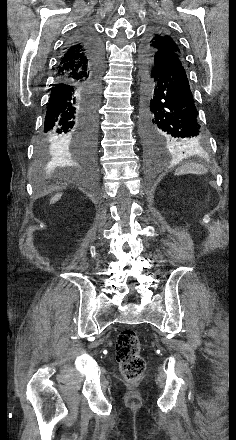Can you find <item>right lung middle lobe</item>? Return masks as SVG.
Here are the masks:
<instances>
[{
  "instance_id": "right-lung-middle-lobe-1",
  "label": "right lung middle lobe",
  "mask_w": 236,
  "mask_h": 440,
  "mask_svg": "<svg viewBox=\"0 0 236 440\" xmlns=\"http://www.w3.org/2000/svg\"><path fill=\"white\" fill-rule=\"evenodd\" d=\"M87 91L90 98L94 101H97L98 104L100 98V91H98L96 87H88ZM51 144H53V141L51 140L42 143L37 155V160L39 163L47 162L51 158V155L49 153V146Z\"/></svg>"
}]
</instances>
